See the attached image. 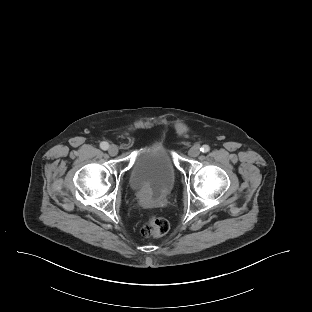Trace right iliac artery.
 <instances>
[{"mask_svg":"<svg viewBox=\"0 0 312 312\" xmlns=\"http://www.w3.org/2000/svg\"><path fill=\"white\" fill-rule=\"evenodd\" d=\"M108 147H109V144H108L107 142H102V143L100 144V148H101L102 150H107Z\"/></svg>","mask_w":312,"mask_h":312,"instance_id":"1","label":"right iliac artery"}]
</instances>
